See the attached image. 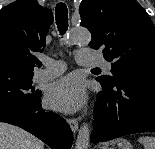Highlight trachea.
Masks as SVG:
<instances>
[{
	"label": "trachea",
	"mask_w": 155,
	"mask_h": 149,
	"mask_svg": "<svg viewBox=\"0 0 155 149\" xmlns=\"http://www.w3.org/2000/svg\"><path fill=\"white\" fill-rule=\"evenodd\" d=\"M55 18H56V24L60 34L64 35L68 29V9L65 3L60 2L56 5ZM94 69H98V68H94Z\"/></svg>",
	"instance_id": "obj_1"
}]
</instances>
